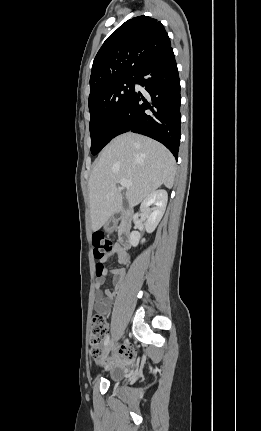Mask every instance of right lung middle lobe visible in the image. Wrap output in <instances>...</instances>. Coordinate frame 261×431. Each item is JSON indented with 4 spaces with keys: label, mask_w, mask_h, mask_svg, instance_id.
I'll list each match as a JSON object with an SVG mask.
<instances>
[{
    "label": "right lung middle lobe",
    "mask_w": 261,
    "mask_h": 431,
    "mask_svg": "<svg viewBox=\"0 0 261 431\" xmlns=\"http://www.w3.org/2000/svg\"><path fill=\"white\" fill-rule=\"evenodd\" d=\"M136 76L106 85L89 95L91 152L99 153L113 138L118 119L135 91Z\"/></svg>",
    "instance_id": "right-lung-middle-lobe-1"
}]
</instances>
